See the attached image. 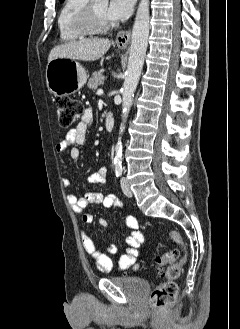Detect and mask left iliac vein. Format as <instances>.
I'll return each instance as SVG.
<instances>
[{"instance_id": "4c4485c4", "label": "left iliac vein", "mask_w": 240, "mask_h": 329, "mask_svg": "<svg viewBox=\"0 0 240 329\" xmlns=\"http://www.w3.org/2000/svg\"><path fill=\"white\" fill-rule=\"evenodd\" d=\"M121 187H122L123 193L127 197H132V195H133L132 194V191H131V189L129 187V184H128L127 180L124 177L121 178Z\"/></svg>"}]
</instances>
